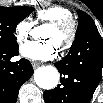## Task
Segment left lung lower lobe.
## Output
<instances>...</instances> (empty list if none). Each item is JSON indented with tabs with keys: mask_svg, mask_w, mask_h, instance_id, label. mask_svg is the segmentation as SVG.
I'll list each match as a JSON object with an SVG mask.
<instances>
[{
	"mask_svg": "<svg viewBox=\"0 0 103 103\" xmlns=\"http://www.w3.org/2000/svg\"><path fill=\"white\" fill-rule=\"evenodd\" d=\"M55 66L61 84L44 92L45 102L89 103L103 69V40L98 30L88 31L75 40L69 53Z\"/></svg>",
	"mask_w": 103,
	"mask_h": 103,
	"instance_id": "left-lung-lower-lobe-1",
	"label": "left lung lower lobe"
}]
</instances>
